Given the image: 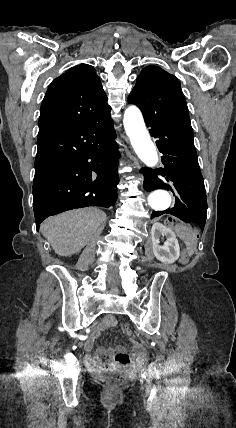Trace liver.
Wrapping results in <instances>:
<instances>
[{"instance_id":"obj_1","label":"liver","mask_w":236,"mask_h":428,"mask_svg":"<svg viewBox=\"0 0 236 428\" xmlns=\"http://www.w3.org/2000/svg\"><path fill=\"white\" fill-rule=\"evenodd\" d=\"M106 214L98 208L70 210L47 218L41 232L58 256H72L81 252L94 234H102Z\"/></svg>"}]
</instances>
